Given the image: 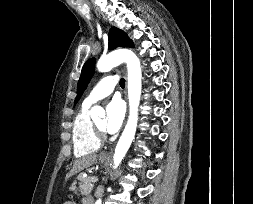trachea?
<instances>
[{
  "mask_svg": "<svg viewBox=\"0 0 253 204\" xmlns=\"http://www.w3.org/2000/svg\"><path fill=\"white\" fill-rule=\"evenodd\" d=\"M120 86L121 87L125 86V80L123 78L120 79Z\"/></svg>",
  "mask_w": 253,
  "mask_h": 204,
  "instance_id": "trachea-1",
  "label": "trachea"
}]
</instances>
